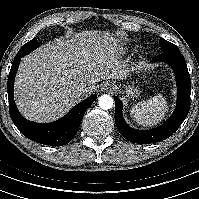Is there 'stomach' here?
<instances>
[{"instance_id": "obj_1", "label": "stomach", "mask_w": 199, "mask_h": 199, "mask_svg": "<svg viewBox=\"0 0 199 199\" xmlns=\"http://www.w3.org/2000/svg\"><path fill=\"white\" fill-rule=\"evenodd\" d=\"M125 98L130 99V98H136L139 95V89L138 87L132 85H128L125 87Z\"/></svg>"}]
</instances>
